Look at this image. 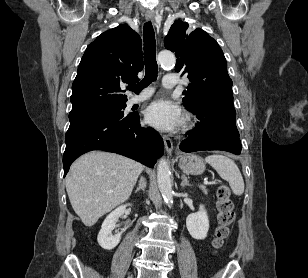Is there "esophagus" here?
Here are the masks:
<instances>
[{
	"label": "esophagus",
	"mask_w": 308,
	"mask_h": 278,
	"mask_svg": "<svg viewBox=\"0 0 308 278\" xmlns=\"http://www.w3.org/2000/svg\"><path fill=\"white\" fill-rule=\"evenodd\" d=\"M145 18H146L147 21L154 22V15L150 11H147L145 13ZM163 141H164L165 150H166L167 154L171 155V153L173 151V142H172L171 138L168 137L167 135H163Z\"/></svg>",
	"instance_id": "1"
}]
</instances>
